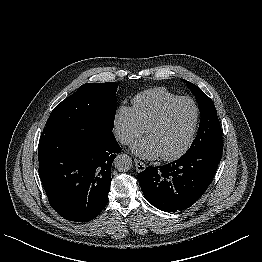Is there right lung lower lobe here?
<instances>
[{
    "mask_svg": "<svg viewBox=\"0 0 262 262\" xmlns=\"http://www.w3.org/2000/svg\"><path fill=\"white\" fill-rule=\"evenodd\" d=\"M120 151L113 133L42 134L39 176L52 208L70 221L94 219L108 202L111 166Z\"/></svg>",
    "mask_w": 262,
    "mask_h": 262,
    "instance_id": "right-lung-lower-lobe-1",
    "label": "right lung lower lobe"
}]
</instances>
